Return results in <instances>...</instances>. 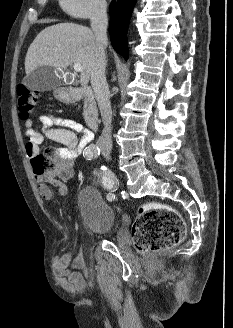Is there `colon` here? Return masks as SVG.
<instances>
[{
	"instance_id": "colon-1",
	"label": "colon",
	"mask_w": 233,
	"mask_h": 328,
	"mask_svg": "<svg viewBox=\"0 0 233 328\" xmlns=\"http://www.w3.org/2000/svg\"><path fill=\"white\" fill-rule=\"evenodd\" d=\"M20 117L28 121L38 103L37 94L20 84L17 87ZM53 150L35 156L32 160L37 175L45 176L55 171L52 161ZM186 225L174 208L164 204L142 206L134 221L132 240L141 253L160 252L177 246L185 237Z\"/></svg>"
}]
</instances>
